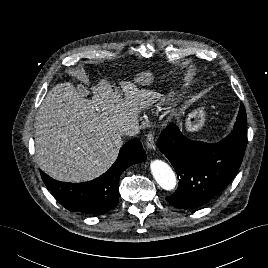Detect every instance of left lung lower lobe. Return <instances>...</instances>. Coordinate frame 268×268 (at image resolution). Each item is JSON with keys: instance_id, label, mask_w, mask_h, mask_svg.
Here are the masks:
<instances>
[{"instance_id": "1", "label": "left lung lower lobe", "mask_w": 268, "mask_h": 268, "mask_svg": "<svg viewBox=\"0 0 268 268\" xmlns=\"http://www.w3.org/2000/svg\"><path fill=\"white\" fill-rule=\"evenodd\" d=\"M239 132L217 143L192 141L173 123L161 132L157 146L181 178L177 191L166 197L172 206L199 208L226 188L239 170L247 145L240 142Z\"/></svg>"}]
</instances>
